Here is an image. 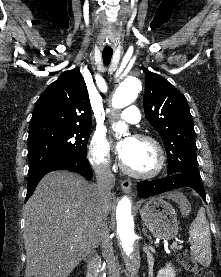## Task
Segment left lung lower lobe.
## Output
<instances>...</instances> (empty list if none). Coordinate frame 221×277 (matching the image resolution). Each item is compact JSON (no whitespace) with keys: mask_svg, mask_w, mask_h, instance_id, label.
I'll list each match as a JSON object with an SVG mask.
<instances>
[{"mask_svg":"<svg viewBox=\"0 0 221 277\" xmlns=\"http://www.w3.org/2000/svg\"><path fill=\"white\" fill-rule=\"evenodd\" d=\"M182 187L193 188L206 202V196L201 177H194L184 173H177L169 175L164 179L141 181L138 183V191L140 196L143 198L158 195L169 190Z\"/></svg>","mask_w":221,"mask_h":277,"instance_id":"0a47b994","label":"left lung lower lobe"}]
</instances>
